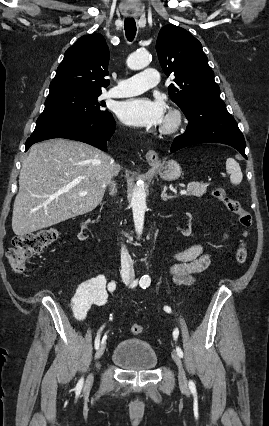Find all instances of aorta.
I'll return each instance as SVG.
<instances>
[{
    "label": "aorta",
    "mask_w": 269,
    "mask_h": 426,
    "mask_svg": "<svg viewBox=\"0 0 269 426\" xmlns=\"http://www.w3.org/2000/svg\"><path fill=\"white\" fill-rule=\"evenodd\" d=\"M151 60V55L147 51H139L131 54L127 59V66L130 69L138 70L146 67ZM131 206L135 231L140 237L144 226V215L146 210V192L142 184L134 187L132 192Z\"/></svg>",
    "instance_id": "1"
}]
</instances>
